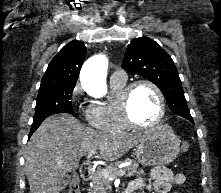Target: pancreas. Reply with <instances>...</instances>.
Segmentation results:
<instances>
[{"instance_id":"pancreas-1","label":"pancreas","mask_w":221,"mask_h":193,"mask_svg":"<svg viewBox=\"0 0 221 193\" xmlns=\"http://www.w3.org/2000/svg\"><path fill=\"white\" fill-rule=\"evenodd\" d=\"M123 162H131L129 166L124 168L127 172V177L134 176L135 174H144L142 169H138L139 164L137 162H133L130 158H126L124 161H119L107 168L97 170L92 176V186L88 190L89 193H107L108 190L111 189V180L106 178L102 171L107 170L113 174H116L119 171L117 167Z\"/></svg>"}]
</instances>
